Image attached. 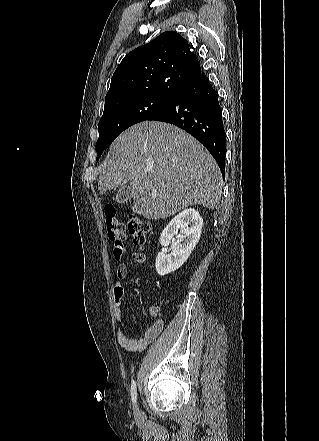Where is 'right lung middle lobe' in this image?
Wrapping results in <instances>:
<instances>
[{
    "label": "right lung middle lobe",
    "mask_w": 319,
    "mask_h": 441,
    "mask_svg": "<svg viewBox=\"0 0 319 441\" xmlns=\"http://www.w3.org/2000/svg\"><path fill=\"white\" fill-rule=\"evenodd\" d=\"M170 100L147 96L121 102L105 109L98 124L97 160L122 131L136 123L148 120L168 105Z\"/></svg>",
    "instance_id": "1"
}]
</instances>
